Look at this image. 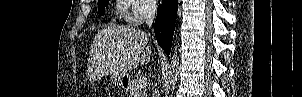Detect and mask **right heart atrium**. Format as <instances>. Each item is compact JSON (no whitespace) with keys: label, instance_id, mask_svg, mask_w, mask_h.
Instances as JSON below:
<instances>
[{"label":"right heart atrium","instance_id":"right-heart-atrium-1","mask_svg":"<svg viewBox=\"0 0 302 97\" xmlns=\"http://www.w3.org/2000/svg\"><path fill=\"white\" fill-rule=\"evenodd\" d=\"M133 6L129 13L126 15V20L131 24H141L148 17L154 14V3L152 1L144 0H128Z\"/></svg>","mask_w":302,"mask_h":97}]
</instances>
